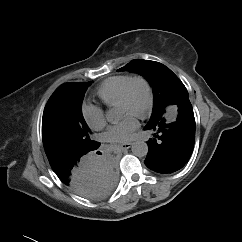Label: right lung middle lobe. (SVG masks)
<instances>
[{"mask_svg": "<svg viewBox=\"0 0 242 242\" xmlns=\"http://www.w3.org/2000/svg\"><path fill=\"white\" fill-rule=\"evenodd\" d=\"M91 82L79 83L70 91L52 95L42 119L43 145L50 165L82 156L98 148L82 115V101Z\"/></svg>", "mask_w": 242, "mask_h": 242, "instance_id": "1", "label": "right lung middle lobe"}]
</instances>
